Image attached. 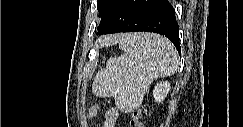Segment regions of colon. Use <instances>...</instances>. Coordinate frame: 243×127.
Masks as SVG:
<instances>
[{"instance_id":"colon-1","label":"colon","mask_w":243,"mask_h":127,"mask_svg":"<svg viewBox=\"0 0 243 127\" xmlns=\"http://www.w3.org/2000/svg\"><path fill=\"white\" fill-rule=\"evenodd\" d=\"M141 115H142V112H141V110H137V111H135L134 113H133V115H132V120H131V122H130V125L131 126H136V127H141L142 126V124H141V122H140V117H141Z\"/></svg>"}]
</instances>
